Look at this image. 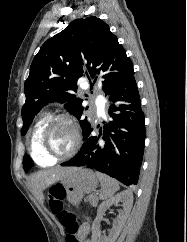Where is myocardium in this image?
Wrapping results in <instances>:
<instances>
[{"mask_svg": "<svg viewBox=\"0 0 187 242\" xmlns=\"http://www.w3.org/2000/svg\"><path fill=\"white\" fill-rule=\"evenodd\" d=\"M57 123L68 124L71 127L73 134H74V144H73L72 148L65 154H53L48 150L47 145H46L47 136H48L49 132L51 131L52 127ZM81 144H82V136H81V132L78 127V124L72 117H70L69 115H66V114H59V115L53 116L50 119H48L47 123L45 124V126L41 132L40 139H39L40 149L43 152V154L46 157L51 158L55 161L65 160V159H68V158L74 156L79 151Z\"/></svg>", "mask_w": 187, "mask_h": 242, "instance_id": "f54148a6", "label": "myocardium"}]
</instances>
